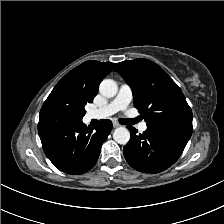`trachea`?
Here are the masks:
<instances>
[{"mask_svg": "<svg viewBox=\"0 0 224 224\" xmlns=\"http://www.w3.org/2000/svg\"><path fill=\"white\" fill-rule=\"evenodd\" d=\"M119 122L122 125H133V124L138 122V119H136V118L135 119L122 118V119H119Z\"/></svg>", "mask_w": 224, "mask_h": 224, "instance_id": "3493384b", "label": "trachea"}]
</instances>
